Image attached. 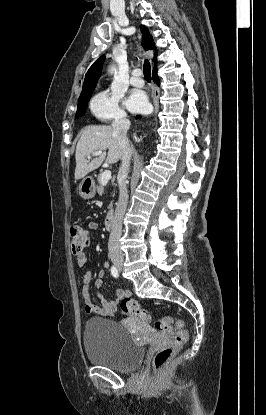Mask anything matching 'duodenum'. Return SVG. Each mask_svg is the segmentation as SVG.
Segmentation results:
<instances>
[{"label": "duodenum", "instance_id": "410a0bca", "mask_svg": "<svg viewBox=\"0 0 266 415\" xmlns=\"http://www.w3.org/2000/svg\"><path fill=\"white\" fill-rule=\"evenodd\" d=\"M113 220H114V213L110 211L107 213L105 220H104V225L106 229L110 230L112 228Z\"/></svg>", "mask_w": 266, "mask_h": 415}]
</instances>
